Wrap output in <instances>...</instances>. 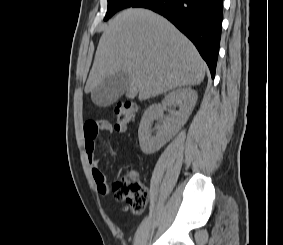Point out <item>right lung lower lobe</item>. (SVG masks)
<instances>
[{
    "label": "right lung lower lobe",
    "mask_w": 283,
    "mask_h": 245,
    "mask_svg": "<svg viewBox=\"0 0 283 245\" xmlns=\"http://www.w3.org/2000/svg\"><path fill=\"white\" fill-rule=\"evenodd\" d=\"M223 0H139L131 7L151 9L171 21L196 46L214 78Z\"/></svg>",
    "instance_id": "right-lung-lower-lobe-1"
}]
</instances>
